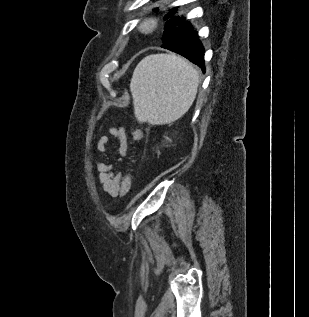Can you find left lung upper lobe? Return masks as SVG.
<instances>
[{"label": "left lung upper lobe", "instance_id": "5c2ea615", "mask_svg": "<svg viewBox=\"0 0 309 317\" xmlns=\"http://www.w3.org/2000/svg\"><path fill=\"white\" fill-rule=\"evenodd\" d=\"M178 7H173L169 9V13L165 16V20L169 19L165 25V31L162 37L163 43L169 41L177 34H179L182 30L186 28L189 22L185 21L184 17H174L175 13H177ZM157 11V10H155Z\"/></svg>", "mask_w": 309, "mask_h": 317}]
</instances>
